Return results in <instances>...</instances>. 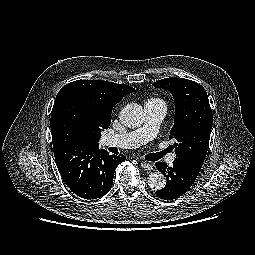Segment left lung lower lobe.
Listing matches in <instances>:
<instances>
[{"label": "left lung lower lobe", "instance_id": "0a47b994", "mask_svg": "<svg viewBox=\"0 0 255 255\" xmlns=\"http://www.w3.org/2000/svg\"><path fill=\"white\" fill-rule=\"evenodd\" d=\"M155 166L167 177L165 187L156 191V195L165 200L176 199L186 193L195 182L201 169L192 163L179 159L173 162L172 167H169L165 162H157Z\"/></svg>", "mask_w": 255, "mask_h": 255}]
</instances>
